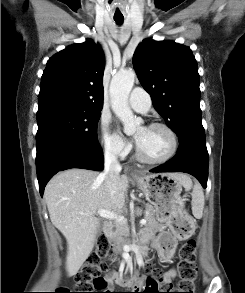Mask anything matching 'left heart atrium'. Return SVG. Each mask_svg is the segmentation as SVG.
<instances>
[{"instance_id": "39dd6f15", "label": "left heart atrium", "mask_w": 245, "mask_h": 293, "mask_svg": "<svg viewBox=\"0 0 245 293\" xmlns=\"http://www.w3.org/2000/svg\"><path fill=\"white\" fill-rule=\"evenodd\" d=\"M144 130L146 129V128H143ZM140 137H136V141H137V143H139L140 142Z\"/></svg>"}]
</instances>
